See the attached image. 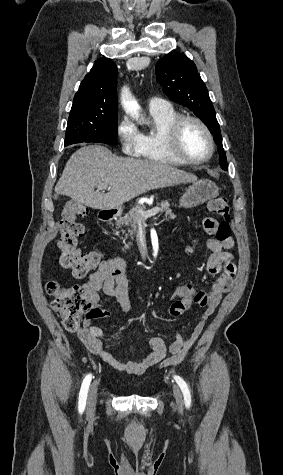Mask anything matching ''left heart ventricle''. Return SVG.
<instances>
[{"instance_id":"1","label":"left heart ventricle","mask_w":283,"mask_h":475,"mask_svg":"<svg viewBox=\"0 0 283 475\" xmlns=\"http://www.w3.org/2000/svg\"><path fill=\"white\" fill-rule=\"evenodd\" d=\"M209 151V143L206 135L198 124L189 121L186 122L180 133L177 144L167 143L166 152L169 156L201 158Z\"/></svg>"}]
</instances>
